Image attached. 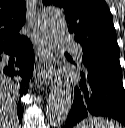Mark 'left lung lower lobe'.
<instances>
[{"label":"left lung lower lobe","mask_w":125,"mask_h":128,"mask_svg":"<svg viewBox=\"0 0 125 128\" xmlns=\"http://www.w3.org/2000/svg\"><path fill=\"white\" fill-rule=\"evenodd\" d=\"M89 116L111 117L125 126V90L118 63L83 67L64 128Z\"/></svg>","instance_id":"left-lung-lower-lobe-1"}]
</instances>
